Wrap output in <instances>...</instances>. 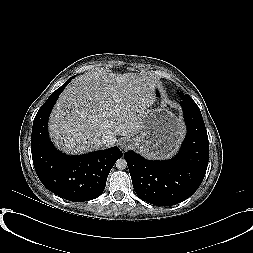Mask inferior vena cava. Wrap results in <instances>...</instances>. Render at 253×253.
Returning <instances> with one entry per match:
<instances>
[{
	"label": "inferior vena cava",
	"mask_w": 253,
	"mask_h": 253,
	"mask_svg": "<svg viewBox=\"0 0 253 253\" xmlns=\"http://www.w3.org/2000/svg\"><path fill=\"white\" fill-rule=\"evenodd\" d=\"M110 142H111V138H110L109 136H103V137L101 138V144H102V145L107 146V145L110 144Z\"/></svg>",
	"instance_id": "1"
}]
</instances>
